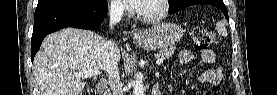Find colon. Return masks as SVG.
Segmentation results:
<instances>
[{"label":"colon","instance_id":"5ec220e1","mask_svg":"<svg viewBox=\"0 0 277 95\" xmlns=\"http://www.w3.org/2000/svg\"><path fill=\"white\" fill-rule=\"evenodd\" d=\"M193 45L196 50L205 51L218 42V36L203 26H197L191 33ZM93 90H85L82 95H95Z\"/></svg>","mask_w":277,"mask_h":95}]
</instances>
